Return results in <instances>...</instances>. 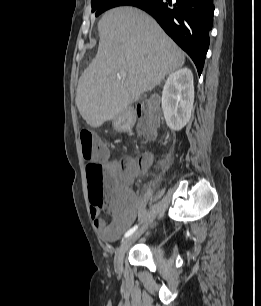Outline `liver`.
<instances>
[{
  "label": "liver",
  "mask_w": 261,
  "mask_h": 306,
  "mask_svg": "<svg viewBox=\"0 0 261 306\" xmlns=\"http://www.w3.org/2000/svg\"><path fill=\"white\" fill-rule=\"evenodd\" d=\"M98 31L97 55L79 78L76 93L78 110L92 127L116 118L185 62L183 51L140 9L107 11Z\"/></svg>",
  "instance_id": "6515ba94"
}]
</instances>
